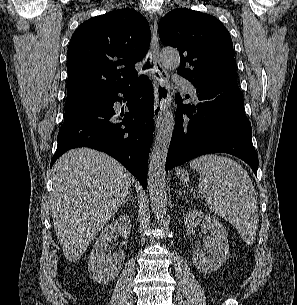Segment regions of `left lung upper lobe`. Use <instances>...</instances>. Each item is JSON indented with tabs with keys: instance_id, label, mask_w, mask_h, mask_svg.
<instances>
[{
	"instance_id": "left-lung-upper-lobe-1",
	"label": "left lung upper lobe",
	"mask_w": 297,
	"mask_h": 305,
	"mask_svg": "<svg viewBox=\"0 0 297 305\" xmlns=\"http://www.w3.org/2000/svg\"><path fill=\"white\" fill-rule=\"evenodd\" d=\"M158 30L163 44L179 50L178 74L195 87L237 80L232 40L216 17L175 9L160 20Z\"/></svg>"
}]
</instances>
